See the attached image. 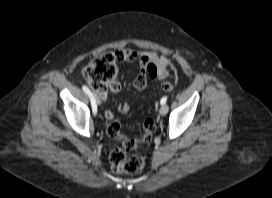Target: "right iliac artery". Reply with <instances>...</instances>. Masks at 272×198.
Listing matches in <instances>:
<instances>
[{"mask_svg": "<svg viewBox=\"0 0 272 198\" xmlns=\"http://www.w3.org/2000/svg\"><path fill=\"white\" fill-rule=\"evenodd\" d=\"M82 89L89 96V98L91 100L93 114H96L97 113V105H96V101L94 99V96H93L92 92L85 85L82 86Z\"/></svg>", "mask_w": 272, "mask_h": 198, "instance_id": "right-iliac-artery-1", "label": "right iliac artery"}]
</instances>
